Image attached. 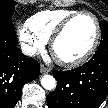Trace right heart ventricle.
Instances as JSON below:
<instances>
[{"instance_id": "e07e8e85", "label": "right heart ventricle", "mask_w": 108, "mask_h": 108, "mask_svg": "<svg viewBox=\"0 0 108 108\" xmlns=\"http://www.w3.org/2000/svg\"><path fill=\"white\" fill-rule=\"evenodd\" d=\"M76 12L70 9L43 10L32 15L27 24L32 32L47 42L58 26Z\"/></svg>"}]
</instances>
